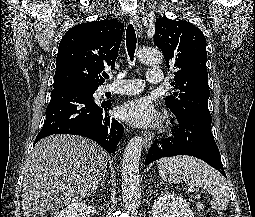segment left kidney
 I'll list each match as a JSON object with an SVG mask.
<instances>
[{"label": "left kidney", "mask_w": 255, "mask_h": 217, "mask_svg": "<svg viewBox=\"0 0 255 217\" xmlns=\"http://www.w3.org/2000/svg\"><path fill=\"white\" fill-rule=\"evenodd\" d=\"M152 217H194V214L185 199L162 192L154 201Z\"/></svg>", "instance_id": "1"}]
</instances>
